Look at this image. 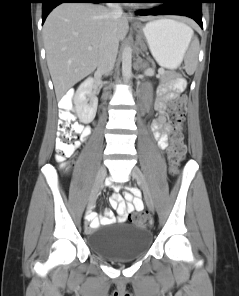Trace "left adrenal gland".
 I'll list each match as a JSON object with an SVG mask.
<instances>
[{"mask_svg":"<svg viewBox=\"0 0 239 296\" xmlns=\"http://www.w3.org/2000/svg\"><path fill=\"white\" fill-rule=\"evenodd\" d=\"M139 63H141V59H139Z\"/></svg>","mask_w":239,"mask_h":296,"instance_id":"obj_1","label":"left adrenal gland"}]
</instances>
